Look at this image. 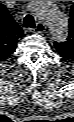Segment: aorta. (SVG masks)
Segmentation results:
<instances>
[{
    "label": "aorta",
    "mask_w": 74,
    "mask_h": 122,
    "mask_svg": "<svg viewBox=\"0 0 74 122\" xmlns=\"http://www.w3.org/2000/svg\"><path fill=\"white\" fill-rule=\"evenodd\" d=\"M29 9L47 26L54 41L64 42L69 34V21L53 1H30Z\"/></svg>",
    "instance_id": "obj_1"
}]
</instances>
